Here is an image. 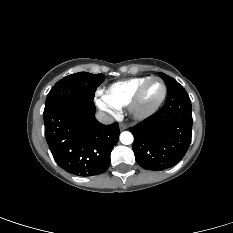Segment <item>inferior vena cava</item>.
Returning <instances> with one entry per match:
<instances>
[{
	"mask_svg": "<svg viewBox=\"0 0 233 233\" xmlns=\"http://www.w3.org/2000/svg\"><path fill=\"white\" fill-rule=\"evenodd\" d=\"M96 118L98 121H100L101 123L103 124H112L114 122V119L113 117L103 113V112H98L96 114Z\"/></svg>",
	"mask_w": 233,
	"mask_h": 233,
	"instance_id": "602c4592",
	"label": "inferior vena cava"
}]
</instances>
